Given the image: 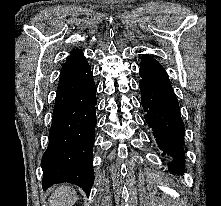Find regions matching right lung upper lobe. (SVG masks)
<instances>
[{"mask_svg":"<svg viewBox=\"0 0 221 206\" xmlns=\"http://www.w3.org/2000/svg\"><path fill=\"white\" fill-rule=\"evenodd\" d=\"M86 58L84 57L83 53L80 49H75L71 52L69 58L67 59L66 63L62 67L60 72V76L64 75L65 73L79 67L80 65L86 63Z\"/></svg>","mask_w":221,"mask_h":206,"instance_id":"right-lung-upper-lobe-1","label":"right lung upper lobe"}]
</instances>
